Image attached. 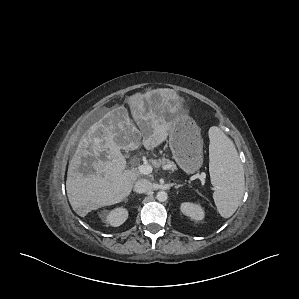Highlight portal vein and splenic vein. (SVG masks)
I'll return each instance as SVG.
<instances>
[{"mask_svg": "<svg viewBox=\"0 0 299 299\" xmlns=\"http://www.w3.org/2000/svg\"><path fill=\"white\" fill-rule=\"evenodd\" d=\"M138 170L140 173L147 175V174L152 173L153 168L150 164H142V165L138 166ZM200 177H201V179H205V177H206L205 173H202L200 175Z\"/></svg>", "mask_w": 299, "mask_h": 299, "instance_id": "obj_1", "label": "portal vein and splenic vein"}]
</instances>
